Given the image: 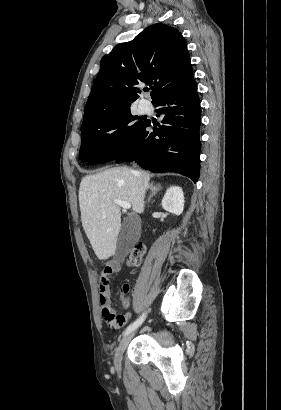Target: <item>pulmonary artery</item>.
I'll use <instances>...</instances> for the list:
<instances>
[{
    "mask_svg": "<svg viewBox=\"0 0 281 410\" xmlns=\"http://www.w3.org/2000/svg\"><path fill=\"white\" fill-rule=\"evenodd\" d=\"M140 108H141V110L142 111H147L148 109H149V103L148 102H145V101H143V102H141L140 103Z\"/></svg>",
    "mask_w": 281,
    "mask_h": 410,
    "instance_id": "pulmonary-artery-1",
    "label": "pulmonary artery"
}]
</instances>
